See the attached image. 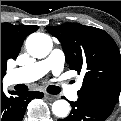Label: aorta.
I'll list each match as a JSON object with an SVG mask.
<instances>
[{"label":"aorta","instance_id":"aorta-1","mask_svg":"<svg viewBox=\"0 0 121 121\" xmlns=\"http://www.w3.org/2000/svg\"><path fill=\"white\" fill-rule=\"evenodd\" d=\"M26 49L32 57L43 59L52 50V40L44 33H32L26 40ZM69 110V103L66 100H57L52 104V112L57 117H66Z\"/></svg>","mask_w":121,"mask_h":121}]
</instances>
